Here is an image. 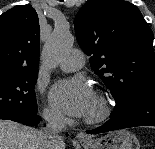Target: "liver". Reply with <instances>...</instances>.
Masks as SVG:
<instances>
[{"label":"liver","instance_id":"1","mask_svg":"<svg viewBox=\"0 0 155 149\" xmlns=\"http://www.w3.org/2000/svg\"><path fill=\"white\" fill-rule=\"evenodd\" d=\"M43 131L0 120V149H44ZM59 149H65L63 144Z\"/></svg>","mask_w":155,"mask_h":149}]
</instances>
